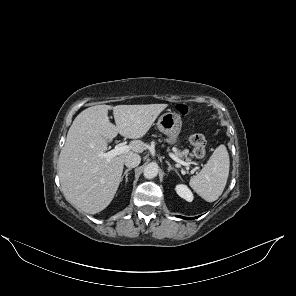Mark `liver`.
I'll return each instance as SVG.
<instances>
[{
    "mask_svg": "<svg viewBox=\"0 0 296 296\" xmlns=\"http://www.w3.org/2000/svg\"><path fill=\"white\" fill-rule=\"evenodd\" d=\"M167 104L96 105L83 110L73 121L58 162V175L66 200L77 210L96 214L113 200L121 181L125 158L142 153L140 140ZM113 111L116 125L108 118ZM120 134L133 139L130 150L110 161L98 156Z\"/></svg>",
    "mask_w": 296,
    "mask_h": 296,
    "instance_id": "6515ba94",
    "label": "liver"
}]
</instances>
